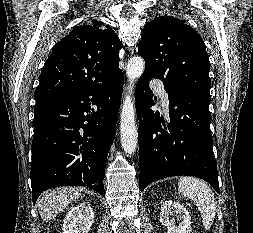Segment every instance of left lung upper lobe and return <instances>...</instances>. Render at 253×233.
I'll list each match as a JSON object with an SVG mask.
<instances>
[{
  "label": "left lung upper lobe",
  "instance_id": "left-lung-upper-lobe-1",
  "mask_svg": "<svg viewBox=\"0 0 253 233\" xmlns=\"http://www.w3.org/2000/svg\"><path fill=\"white\" fill-rule=\"evenodd\" d=\"M138 47L146 63L144 73L162 80L167 92L209 93L210 63L204 41L180 19L160 16L147 22Z\"/></svg>",
  "mask_w": 253,
  "mask_h": 233
}]
</instances>
